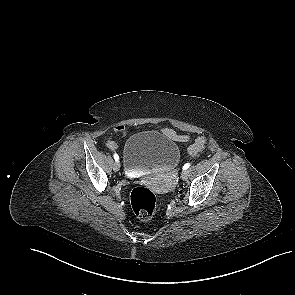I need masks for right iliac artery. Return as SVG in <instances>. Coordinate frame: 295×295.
Here are the masks:
<instances>
[{"label":"right iliac artery","instance_id":"82829eb1","mask_svg":"<svg viewBox=\"0 0 295 295\" xmlns=\"http://www.w3.org/2000/svg\"><path fill=\"white\" fill-rule=\"evenodd\" d=\"M114 159H115V161L118 162V160H119V156H118L117 154H114Z\"/></svg>","mask_w":295,"mask_h":295}]
</instances>
